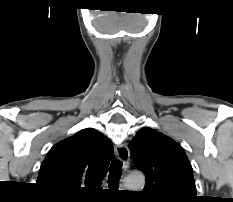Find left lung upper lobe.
Masks as SVG:
<instances>
[{
  "label": "left lung upper lobe",
  "instance_id": "left-lung-upper-lobe-1",
  "mask_svg": "<svg viewBox=\"0 0 233 202\" xmlns=\"http://www.w3.org/2000/svg\"><path fill=\"white\" fill-rule=\"evenodd\" d=\"M135 164L146 175L143 190L150 202H195L192 166L181 146L162 133L145 127L129 144Z\"/></svg>",
  "mask_w": 233,
  "mask_h": 202
}]
</instances>
